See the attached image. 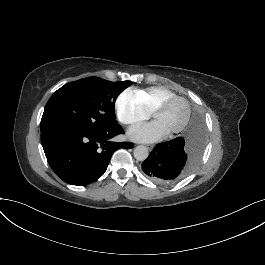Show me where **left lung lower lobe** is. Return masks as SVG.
I'll return each mask as SVG.
<instances>
[{
  "label": "left lung lower lobe",
  "mask_w": 265,
  "mask_h": 265,
  "mask_svg": "<svg viewBox=\"0 0 265 265\" xmlns=\"http://www.w3.org/2000/svg\"><path fill=\"white\" fill-rule=\"evenodd\" d=\"M205 145L200 115L192 117L182 136L157 144L142 163L143 172L159 184L175 183L187 176L199 162Z\"/></svg>",
  "instance_id": "obj_1"
}]
</instances>
